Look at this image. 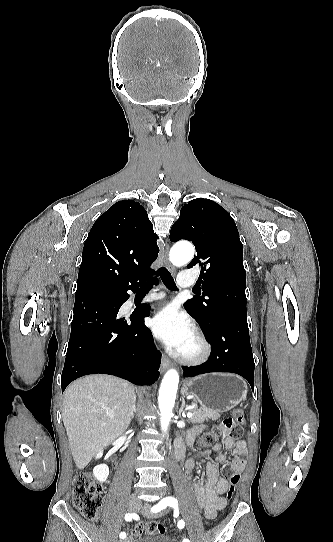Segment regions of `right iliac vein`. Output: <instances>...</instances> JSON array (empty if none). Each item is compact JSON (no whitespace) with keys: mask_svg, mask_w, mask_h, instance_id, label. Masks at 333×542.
Returning <instances> with one entry per match:
<instances>
[{"mask_svg":"<svg viewBox=\"0 0 333 542\" xmlns=\"http://www.w3.org/2000/svg\"><path fill=\"white\" fill-rule=\"evenodd\" d=\"M141 507V502L136 496H132L128 500V509L130 512H136ZM129 537H127L125 540H122L121 542H129Z\"/></svg>","mask_w":333,"mask_h":542,"instance_id":"63e3f726","label":"right iliac vein"}]
</instances>
